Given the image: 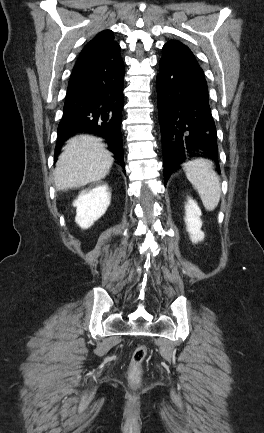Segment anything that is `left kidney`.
I'll return each instance as SVG.
<instances>
[{
    "mask_svg": "<svg viewBox=\"0 0 264 433\" xmlns=\"http://www.w3.org/2000/svg\"><path fill=\"white\" fill-rule=\"evenodd\" d=\"M200 216L201 210L197 203L189 198L185 205V223L187 232L193 243H198L204 239V233L201 231L202 221Z\"/></svg>",
    "mask_w": 264,
    "mask_h": 433,
    "instance_id": "5707ae66",
    "label": "left kidney"
}]
</instances>
